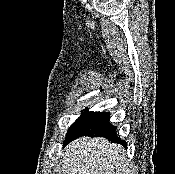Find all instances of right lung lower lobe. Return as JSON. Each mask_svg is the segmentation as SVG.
<instances>
[{"instance_id": "obj_1", "label": "right lung lower lobe", "mask_w": 175, "mask_h": 174, "mask_svg": "<svg viewBox=\"0 0 175 174\" xmlns=\"http://www.w3.org/2000/svg\"><path fill=\"white\" fill-rule=\"evenodd\" d=\"M116 126L109 123V113L85 111L69 128L64 145L81 136L105 137L114 143L126 146L116 135Z\"/></svg>"}]
</instances>
